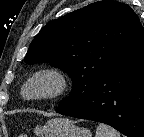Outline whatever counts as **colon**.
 Wrapping results in <instances>:
<instances>
[{
  "instance_id": "1",
  "label": "colon",
  "mask_w": 144,
  "mask_h": 137,
  "mask_svg": "<svg viewBox=\"0 0 144 137\" xmlns=\"http://www.w3.org/2000/svg\"><path fill=\"white\" fill-rule=\"evenodd\" d=\"M19 137H26L25 135H19Z\"/></svg>"
}]
</instances>
